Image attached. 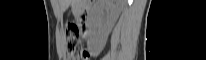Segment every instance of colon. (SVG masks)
Masks as SVG:
<instances>
[{"label": "colon", "instance_id": "colon-1", "mask_svg": "<svg viewBox=\"0 0 206 60\" xmlns=\"http://www.w3.org/2000/svg\"><path fill=\"white\" fill-rule=\"evenodd\" d=\"M66 43L69 60H89V54L83 46V38L77 25L68 26Z\"/></svg>", "mask_w": 206, "mask_h": 60}]
</instances>
